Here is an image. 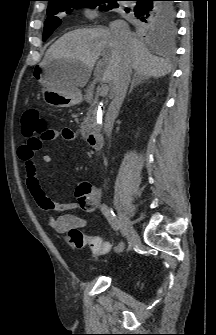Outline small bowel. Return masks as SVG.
I'll list each match as a JSON object with an SVG mask.
<instances>
[{
	"label": "small bowel",
	"instance_id": "small-bowel-1",
	"mask_svg": "<svg viewBox=\"0 0 216 335\" xmlns=\"http://www.w3.org/2000/svg\"><path fill=\"white\" fill-rule=\"evenodd\" d=\"M57 139L73 140L75 139V134L69 128H63L61 130H49L45 141H53ZM18 152L19 157L25 164L26 185L28 191L31 194L32 198L37 203V205L48 213L47 215L48 223L57 232L62 234H66L71 229L74 228L82 229L87 227L90 221H88L85 217L79 214L67 213V212L77 209L79 207L84 209L88 213L96 211L99 207H101L100 192L97 189H94L89 182H82L76 189L75 196L77 200L75 202H69V203L54 202L45 195V193L41 188L38 177V169L34 161V151L31 150L29 145H22L19 147ZM51 161L52 157L50 155L43 156L44 163L49 164L51 163ZM51 212H56L59 213L60 215L57 218H53L49 215V213ZM104 243L106 244L107 250L103 253L95 254L96 256L105 254L109 250L110 244L107 242Z\"/></svg>",
	"mask_w": 216,
	"mask_h": 335
}]
</instances>
